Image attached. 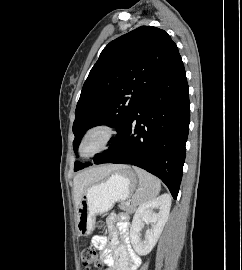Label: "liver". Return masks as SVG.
Returning <instances> with one entry per match:
<instances>
[{
	"label": "liver",
	"mask_w": 242,
	"mask_h": 270,
	"mask_svg": "<svg viewBox=\"0 0 242 270\" xmlns=\"http://www.w3.org/2000/svg\"><path fill=\"white\" fill-rule=\"evenodd\" d=\"M122 165H103L90 168L78 173L74 177V200L76 209L79 207L82 196L90 185L103 180L111 172L121 168Z\"/></svg>",
	"instance_id": "obj_1"
}]
</instances>
